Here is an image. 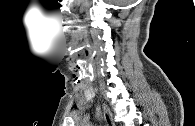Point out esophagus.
I'll list each match as a JSON object with an SVG mask.
<instances>
[{
	"label": "esophagus",
	"instance_id": "34e87169",
	"mask_svg": "<svg viewBox=\"0 0 195 126\" xmlns=\"http://www.w3.org/2000/svg\"><path fill=\"white\" fill-rule=\"evenodd\" d=\"M104 120H105L107 126H114L112 113L106 107H104Z\"/></svg>",
	"mask_w": 195,
	"mask_h": 126
}]
</instances>
